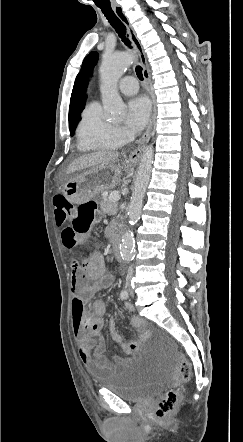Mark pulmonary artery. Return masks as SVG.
<instances>
[{"label":"pulmonary artery","instance_id":"pulmonary-artery-1","mask_svg":"<svg viewBox=\"0 0 243 442\" xmlns=\"http://www.w3.org/2000/svg\"><path fill=\"white\" fill-rule=\"evenodd\" d=\"M119 90L125 95H133L138 91V82L132 76H126L119 82Z\"/></svg>","mask_w":243,"mask_h":442}]
</instances>
